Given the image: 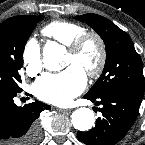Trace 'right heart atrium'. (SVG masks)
<instances>
[{"label": "right heart atrium", "mask_w": 145, "mask_h": 145, "mask_svg": "<svg viewBox=\"0 0 145 145\" xmlns=\"http://www.w3.org/2000/svg\"><path fill=\"white\" fill-rule=\"evenodd\" d=\"M22 62L29 76H36L41 72L43 63L41 47L38 41L31 38L27 41L22 52Z\"/></svg>", "instance_id": "d8ad5b80"}]
</instances>
